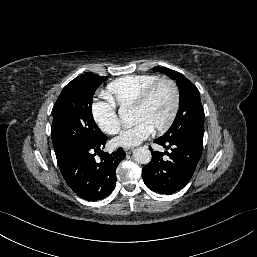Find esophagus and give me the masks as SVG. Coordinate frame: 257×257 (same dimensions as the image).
Returning <instances> with one entry per match:
<instances>
[{"instance_id":"34e87169","label":"esophagus","mask_w":257,"mask_h":257,"mask_svg":"<svg viewBox=\"0 0 257 257\" xmlns=\"http://www.w3.org/2000/svg\"><path fill=\"white\" fill-rule=\"evenodd\" d=\"M124 151H125L126 154H131L133 149L132 148H125Z\"/></svg>"}]
</instances>
